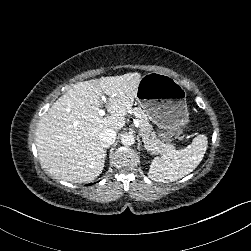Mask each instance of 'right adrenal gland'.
Here are the masks:
<instances>
[{"mask_svg": "<svg viewBox=\"0 0 251 251\" xmlns=\"http://www.w3.org/2000/svg\"><path fill=\"white\" fill-rule=\"evenodd\" d=\"M107 155L106 150H105V156Z\"/></svg>", "mask_w": 251, "mask_h": 251, "instance_id": "right-adrenal-gland-1", "label": "right adrenal gland"}]
</instances>
